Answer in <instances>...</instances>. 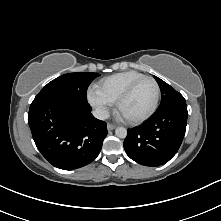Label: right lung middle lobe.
<instances>
[{
    "label": "right lung middle lobe",
    "mask_w": 221,
    "mask_h": 221,
    "mask_svg": "<svg viewBox=\"0 0 221 221\" xmlns=\"http://www.w3.org/2000/svg\"><path fill=\"white\" fill-rule=\"evenodd\" d=\"M98 76L100 74L90 72L64 74L45 85L30 106L58 98H75L86 101L88 86Z\"/></svg>",
    "instance_id": "dd1d6c3e"
}]
</instances>
